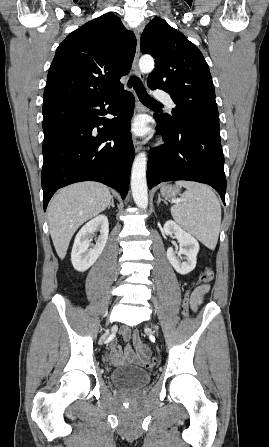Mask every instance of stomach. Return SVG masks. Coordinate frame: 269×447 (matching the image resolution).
<instances>
[{
	"instance_id": "0dacf381",
	"label": "stomach",
	"mask_w": 269,
	"mask_h": 447,
	"mask_svg": "<svg viewBox=\"0 0 269 447\" xmlns=\"http://www.w3.org/2000/svg\"><path fill=\"white\" fill-rule=\"evenodd\" d=\"M160 192L164 198H175V196L179 194V188H176V186H169V184H167V186H161Z\"/></svg>"
}]
</instances>
